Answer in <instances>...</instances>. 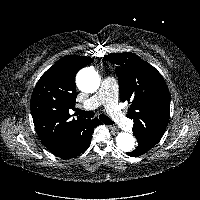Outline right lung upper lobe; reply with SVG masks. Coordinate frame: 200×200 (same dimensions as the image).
I'll list each match as a JSON object with an SVG mask.
<instances>
[{"label":"right lung upper lobe","mask_w":200,"mask_h":200,"mask_svg":"<svg viewBox=\"0 0 200 200\" xmlns=\"http://www.w3.org/2000/svg\"><path fill=\"white\" fill-rule=\"evenodd\" d=\"M90 57L67 55L39 79L30 103L38 137L46 148L56 153L65 148L86 119H72L69 110L76 103L75 76L90 64Z\"/></svg>","instance_id":"1"}]
</instances>
